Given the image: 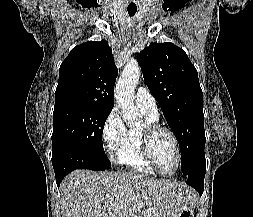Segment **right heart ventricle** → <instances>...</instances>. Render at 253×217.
<instances>
[{"label":"right heart ventricle","instance_id":"obj_1","mask_svg":"<svg viewBox=\"0 0 253 217\" xmlns=\"http://www.w3.org/2000/svg\"><path fill=\"white\" fill-rule=\"evenodd\" d=\"M141 112L146 124H157L158 118L143 110ZM140 131L133 128L127 129L126 137L116 151V161L136 173L154 175L156 171L147 163L141 151Z\"/></svg>","mask_w":253,"mask_h":217}]
</instances>
